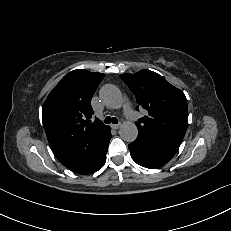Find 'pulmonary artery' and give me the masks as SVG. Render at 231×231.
Instances as JSON below:
<instances>
[{"label":"pulmonary artery","instance_id":"e3ab8cb5","mask_svg":"<svg viewBox=\"0 0 231 231\" xmlns=\"http://www.w3.org/2000/svg\"><path fill=\"white\" fill-rule=\"evenodd\" d=\"M124 113L131 121H136L138 119L137 113L128 104L124 106Z\"/></svg>","mask_w":231,"mask_h":231}]
</instances>
